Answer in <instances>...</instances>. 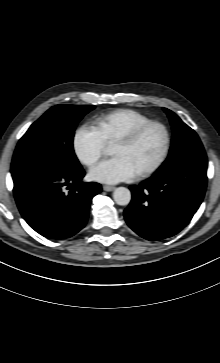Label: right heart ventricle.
I'll use <instances>...</instances> for the list:
<instances>
[{"instance_id": "1", "label": "right heart ventricle", "mask_w": 220, "mask_h": 363, "mask_svg": "<svg viewBox=\"0 0 220 363\" xmlns=\"http://www.w3.org/2000/svg\"><path fill=\"white\" fill-rule=\"evenodd\" d=\"M151 119L134 109H118L100 116L96 120V130L108 144L114 143L122 135Z\"/></svg>"}]
</instances>
